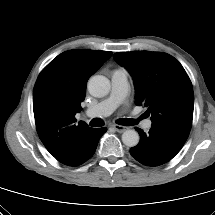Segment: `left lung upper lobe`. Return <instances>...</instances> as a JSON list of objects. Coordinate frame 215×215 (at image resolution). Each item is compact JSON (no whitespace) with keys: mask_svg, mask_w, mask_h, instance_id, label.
Returning a JSON list of instances; mask_svg holds the SVG:
<instances>
[{"mask_svg":"<svg viewBox=\"0 0 215 215\" xmlns=\"http://www.w3.org/2000/svg\"><path fill=\"white\" fill-rule=\"evenodd\" d=\"M113 57L133 76L135 104L148 108L152 128L184 145L192 126L194 94L182 65L158 52H119Z\"/></svg>","mask_w":215,"mask_h":215,"instance_id":"1","label":"left lung upper lobe"}]
</instances>
